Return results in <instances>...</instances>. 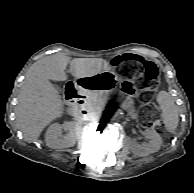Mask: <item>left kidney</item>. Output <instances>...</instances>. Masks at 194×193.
Returning <instances> with one entry per match:
<instances>
[{"label":"left kidney","instance_id":"1","mask_svg":"<svg viewBox=\"0 0 194 193\" xmlns=\"http://www.w3.org/2000/svg\"><path fill=\"white\" fill-rule=\"evenodd\" d=\"M145 134L150 139L147 144H137L135 141L130 142L131 151L140 157L147 156L151 153L157 152L162 144L161 136L153 129H146Z\"/></svg>","mask_w":194,"mask_h":193}]
</instances>
